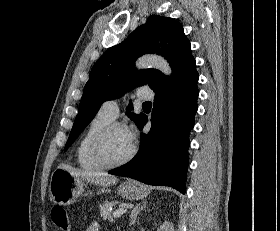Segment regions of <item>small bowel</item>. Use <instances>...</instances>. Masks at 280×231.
I'll return each mask as SVG.
<instances>
[{"instance_id":"c3829d8e","label":"small bowel","mask_w":280,"mask_h":231,"mask_svg":"<svg viewBox=\"0 0 280 231\" xmlns=\"http://www.w3.org/2000/svg\"><path fill=\"white\" fill-rule=\"evenodd\" d=\"M99 230V227H98V224L97 223H93L92 225H90L88 228H87V231H98Z\"/></svg>"}]
</instances>
